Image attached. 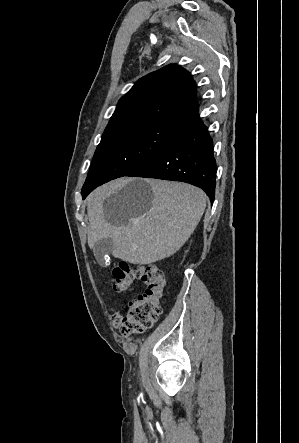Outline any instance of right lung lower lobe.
<instances>
[{"label": "right lung lower lobe", "instance_id": "1", "mask_svg": "<svg viewBox=\"0 0 299 443\" xmlns=\"http://www.w3.org/2000/svg\"><path fill=\"white\" fill-rule=\"evenodd\" d=\"M215 174L212 139L197 110L182 121L177 135L162 150L126 176L190 183L213 200Z\"/></svg>", "mask_w": 299, "mask_h": 443}]
</instances>
